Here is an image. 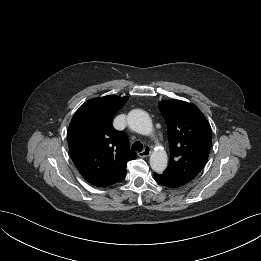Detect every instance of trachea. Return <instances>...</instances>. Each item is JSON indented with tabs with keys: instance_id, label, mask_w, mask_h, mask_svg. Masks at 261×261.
I'll return each instance as SVG.
<instances>
[{
	"instance_id": "1",
	"label": "trachea",
	"mask_w": 261,
	"mask_h": 261,
	"mask_svg": "<svg viewBox=\"0 0 261 261\" xmlns=\"http://www.w3.org/2000/svg\"><path fill=\"white\" fill-rule=\"evenodd\" d=\"M131 149H132L133 151L141 152V151L143 150V145H142L141 142L136 141V142L133 143Z\"/></svg>"
}]
</instances>
